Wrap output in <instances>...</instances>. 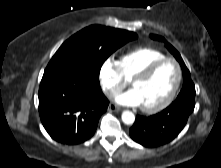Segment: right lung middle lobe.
<instances>
[{
    "label": "right lung middle lobe",
    "mask_w": 221,
    "mask_h": 168,
    "mask_svg": "<svg viewBox=\"0 0 221 168\" xmlns=\"http://www.w3.org/2000/svg\"><path fill=\"white\" fill-rule=\"evenodd\" d=\"M137 34L126 30L92 25L66 40L54 54L48 68L83 67L99 76L104 61Z\"/></svg>",
    "instance_id": "obj_1"
}]
</instances>
